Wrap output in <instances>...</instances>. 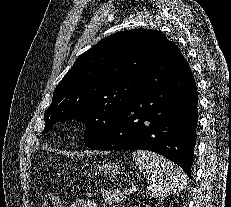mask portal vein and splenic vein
I'll return each instance as SVG.
<instances>
[{
	"mask_svg": "<svg viewBox=\"0 0 231 207\" xmlns=\"http://www.w3.org/2000/svg\"><path fill=\"white\" fill-rule=\"evenodd\" d=\"M134 191H136V186H132V188L127 189V190L125 191V193H126V194H132Z\"/></svg>",
	"mask_w": 231,
	"mask_h": 207,
	"instance_id": "obj_1",
	"label": "portal vein and splenic vein"
}]
</instances>
